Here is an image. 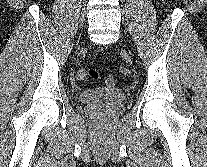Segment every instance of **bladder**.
Here are the masks:
<instances>
[{"mask_svg": "<svg viewBox=\"0 0 207 167\" xmlns=\"http://www.w3.org/2000/svg\"><path fill=\"white\" fill-rule=\"evenodd\" d=\"M126 100V93L117 88L89 89L78 95V101L85 106L106 105L116 106Z\"/></svg>", "mask_w": 207, "mask_h": 167, "instance_id": "bladder-1", "label": "bladder"}]
</instances>
